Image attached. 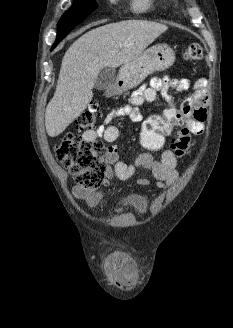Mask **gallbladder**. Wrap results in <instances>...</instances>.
I'll list each match as a JSON object with an SVG mask.
<instances>
[{"mask_svg": "<svg viewBox=\"0 0 233 328\" xmlns=\"http://www.w3.org/2000/svg\"><path fill=\"white\" fill-rule=\"evenodd\" d=\"M115 79V71L112 68H104L98 74L94 87L97 90L107 89Z\"/></svg>", "mask_w": 233, "mask_h": 328, "instance_id": "bac80fb5", "label": "gallbladder"}]
</instances>
